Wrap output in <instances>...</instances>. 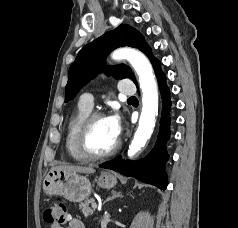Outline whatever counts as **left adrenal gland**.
Masks as SVG:
<instances>
[{
    "label": "left adrenal gland",
    "mask_w": 238,
    "mask_h": 228,
    "mask_svg": "<svg viewBox=\"0 0 238 228\" xmlns=\"http://www.w3.org/2000/svg\"><path fill=\"white\" fill-rule=\"evenodd\" d=\"M119 197H123L122 193L121 192H117V191H112V195L110 197H108L104 203L110 201V200H113V199H116V198H119Z\"/></svg>",
    "instance_id": "a2214340"
}]
</instances>
